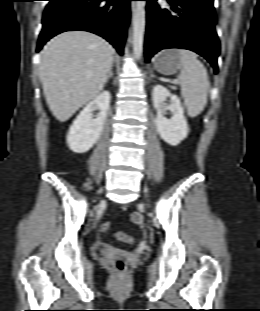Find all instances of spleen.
Listing matches in <instances>:
<instances>
[{
	"mask_svg": "<svg viewBox=\"0 0 260 311\" xmlns=\"http://www.w3.org/2000/svg\"><path fill=\"white\" fill-rule=\"evenodd\" d=\"M182 69L179 74L181 94L190 117L199 115L207 104L209 79L203 63L194 52L179 50Z\"/></svg>",
	"mask_w": 260,
	"mask_h": 311,
	"instance_id": "obj_1",
	"label": "spleen"
}]
</instances>
